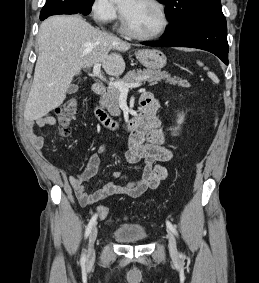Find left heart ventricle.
<instances>
[{"label":"left heart ventricle","mask_w":259,"mask_h":283,"mask_svg":"<svg viewBox=\"0 0 259 283\" xmlns=\"http://www.w3.org/2000/svg\"><path fill=\"white\" fill-rule=\"evenodd\" d=\"M120 7L130 27L138 33L154 34L163 26L161 11L148 0H122Z\"/></svg>","instance_id":"b2bd125f"}]
</instances>
